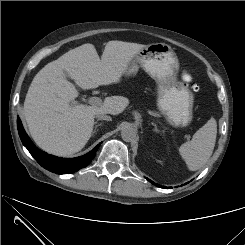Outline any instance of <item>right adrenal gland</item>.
<instances>
[{
	"label": "right adrenal gland",
	"mask_w": 245,
	"mask_h": 245,
	"mask_svg": "<svg viewBox=\"0 0 245 245\" xmlns=\"http://www.w3.org/2000/svg\"><path fill=\"white\" fill-rule=\"evenodd\" d=\"M101 125H102V123H99V124H96V125H95V129H94V131H93V134L96 133L97 128H98L99 126H101Z\"/></svg>",
	"instance_id": "1"
}]
</instances>
